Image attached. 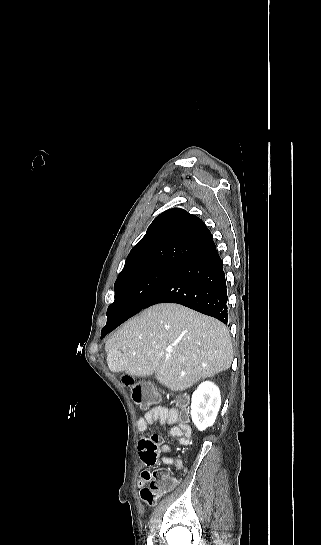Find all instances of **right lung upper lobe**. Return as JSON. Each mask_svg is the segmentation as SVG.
<instances>
[{
  "mask_svg": "<svg viewBox=\"0 0 321 545\" xmlns=\"http://www.w3.org/2000/svg\"><path fill=\"white\" fill-rule=\"evenodd\" d=\"M212 241L200 218L181 208L169 209L154 219L132 248L121 273L152 265L180 267Z\"/></svg>",
  "mask_w": 321,
  "mask_h": 545,
  "instance_id": "right-lung-upper-lobe-1",
  "label": "right lung upper lobe"
}]
</instances>
